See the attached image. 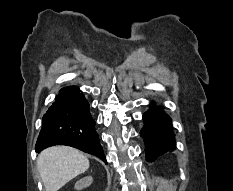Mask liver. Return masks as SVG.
<instances>
[{"mask_svg": "<svg viewBox=\"0 0 233 191\" xmlns=\"http://www.w3.org/2000/svg\"><path fill=\"white\" fill-rule=\"evenodd\" d=\"M37 168L45 191H58L70 180L88 170L89 160L75 148L53 146L39 154Z\"/></svg>", "mask_w": 233, "mask_h": 191, "instance_id": "obj_1", "label": "liver"}]
</instances>
